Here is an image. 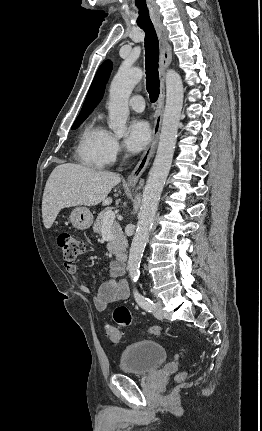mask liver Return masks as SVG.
I'll list each match as a JSON object with an SVG mask.
<instances>
[{
    "instance_id": "obj_1",
    "label": "liver",
    "mask_w": 262,
    "mask_h": 431,
    "mask_svg": "<svg viewBox=\"0 0 262 431\" xmlns=\"http://www.w3.org/2000/svg\"><path fill=\"white\" fill-rule=\"evenodd\" d=\"M118 174L99 171L83 165L64 163L50 174L42 199V217L49 229L63 208L75 206L110 205L107 197L111 189L119 184Z\"/></svg>"
}]
</instances>
